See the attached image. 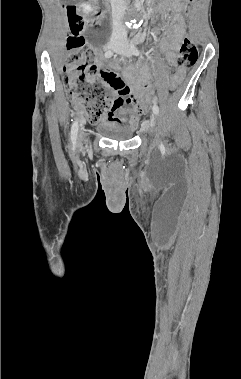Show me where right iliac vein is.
I'll return each instance as SVG.
<instances>
[{
  "mask_svg": "<svg viewBox=\"0 0 241 379\" xmlns=\"http://www.w3.org/2000/svg\"><path fill=\"white\" fill-rule=\"evenodd\" d=\"M109 48H110V49H113V50H116V49L119 48V45H118L117 43H111V44L109 45ZM84 135H85V133H84V132H81V134H80V138L82 139V138L84 137Z\"/></svg>",
  "mask_w": 241,
  "mask_h": 379,
  "instance_id": "1",
  "label": "right iliac vein"
}]
</instances>
